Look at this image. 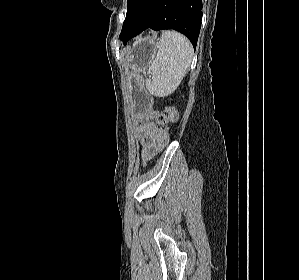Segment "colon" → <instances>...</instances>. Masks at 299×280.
Returning a JSON list of instances; mask_svg holds the SVG:
<instances>
[{
	"instance_id": "5ec220e1",
	"label": "colon",
	"mask_w": 299,
	"mask_h": 280,
	"mask_svg": "<svg viewBox=\"0 0 299 280\" xmlns=\"http://www.w3.org/2000/svg\"><path fill=\"white\" fill-rule=\"evenodd\" d=\"M154 118L159 125L164 128H167L170 123L175 121L176 112L173 108L166 109L165 112L158 111L154 114Z\"/></svg>"
}]
</instances>
